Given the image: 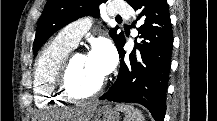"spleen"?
I'll return each instance as SVG.
<instances>
[{
    "mask_svg": "<svg viewBox=\"0 0 217 121\" xmlns=\"http://www.w3.org/2000/svg\"><path fill=\"white\" fill-rule=\"evenodd\" d=\"M116 109L125 114V121H144L141 111L131 105L120 104Z\"/></svg>",
    "mask_w": 217,
    "mask_h": 121,
    "instance_id": "1",
    "label": "spleen"
}]
</instances>
